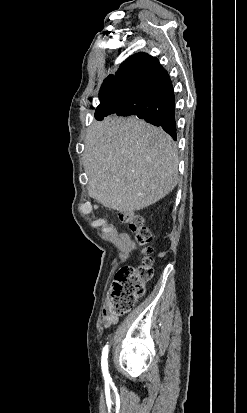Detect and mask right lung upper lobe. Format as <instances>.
<instances>
[{
  "label": "right lung upper lobe",
  "instance_id": "right-lung-upper-lobe-1",
  "mask_svg": "<svg viewBox=\"0 0 247 413\" xmlns=\"http://www.w3.org/2000/svg\"><path fill=\"white\" fill-rule=\"evenodd\" d=\"M162 66L159 61L146 54L137 53L130 56L126 61H124L115 75H109L104 82L106 83H119L128 82V79L135 73L141 71H158L161 70Z\"/></svg>",
  "mask_w": 247,
  "mask_h": 413
}]
</instances>
